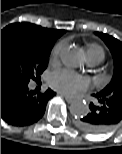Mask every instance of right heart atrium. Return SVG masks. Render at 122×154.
I'll use <instances>...</instances> for the list:
<instances>
[{
    "label": "right heart atrium",
    "mask_w": 122,
    "mask_h": 154,
    "mask_svg": "<svg viewBox=\"0 0 122 154\" xmlns=\"http://www.w3.org/2000/svg\"><path fill=\"white\" fill-rule=\"evenodd\" d=\"M62 49H63L62 43H58L53 47L50 55V60L52 62H56L59 59Z\"/></svg>",
    "instance_id": "obj_1"
}]
</instances>
